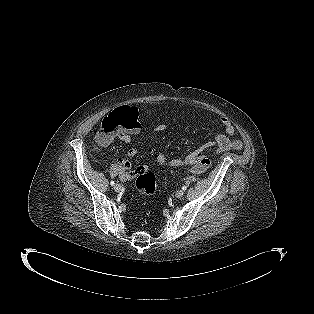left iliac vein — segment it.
Segmentation results:
<instances>
[{"label": "left iliac vein", "instance_id": "left-iliac-vein-1", "mask_svg": "<svg viewBox=\"0 0 314 314\" xmlns=\"http://www.w3.org/2000/svg\"><path fill=\"white\" fill-rule=\"evenodd\" d=\"M184 195V190H178L175 194L176 198H181Z\"/></svg>", "mask_w": 314, "mask_h": 314}]
</instances>
